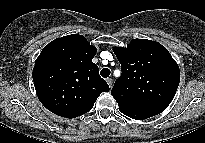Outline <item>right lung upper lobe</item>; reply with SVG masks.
Returning a JSON list of instances; mask_svg holds the SVG:
<instances>
[{
	"mask_svg": "<svg viewBox=\"0 0 205 143\" xmlns=\"http://www.w3.org/2000/svg\"><path fill=\"white\" fill-rule=\"evenodd\" d=\"M96 48L82 35L57 38L41 51L33 81L41 103L51 112L75 118L90 111L109 86L92 62Z\"/></svg>",
	"mask_w": 205,
	"mask_h": 143,
	"instance_id": "obj_1",
	"label": "right lung upper lobe"
}]
</instances>
